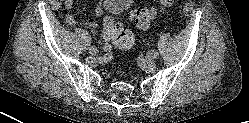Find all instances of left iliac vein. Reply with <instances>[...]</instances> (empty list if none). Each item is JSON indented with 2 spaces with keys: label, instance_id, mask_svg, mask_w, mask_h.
I'll return each instance as SVG.
<instances>
[{
  "label": "left iliac vein",
  "instance_id": "4c4485c4",
  "mask_svg": "<svg viewBox=\"0 0 249 123\" xmlns=\"http://www.w3.org/2000/svg\"><path fill=\"white\" fill-rule=\"evenodd\" d=\"M155 57H154V53L152 51L148 52L146 55V61L148 64H152L154 63Z\"/></svg>",
  "mask_w": 249,
  "mask_h": 123
}]
</instances>
